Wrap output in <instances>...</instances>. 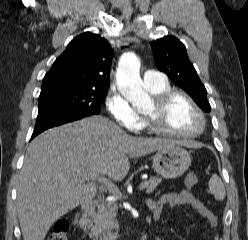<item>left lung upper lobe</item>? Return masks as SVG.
Segmentation results:
<instances>
[{
    "mask_svg": "<svg viewBox=\"0 0 248 240\" xmlns=\"http://www.w3.org/2000/svg\"><path fill=\"white\" fill-rule=\"evenodd\" d=\"M157 68L179 87L183 88L205 112L211 106L207 100V90L199 79L189 60L186 47L176 37L165 36L150 42Z\"/></svg>",
    "mask_w": 248,
    "mask_h": 240,
    "instance_id": "left-lung-upper-lobe-1",
    "label": "left lung upper lobe"
}]
</instances>
